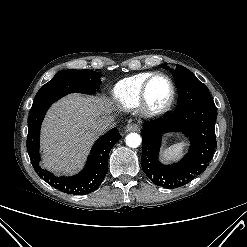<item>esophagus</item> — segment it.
I'll use <instances>...</instances> for the list:
<instances>
[{"label":"esophagus","instance_id":"obj_1","mask_svg":"<svg viewBox=\"0 0 247 247\" xmlns=\"http://www.w3.org/2000/svg\"><path fill=\"white\" fill-rule=\"evenodd\" d=\"M139 129H140L139 125L135 123H130L126 127L127 132H137L139 131Z\"/></svg>","mask_w":247,"mask_h":247}]
</instances>
